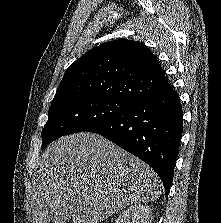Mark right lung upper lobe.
Here are the masks:
<instances>
[{
    "mask_svg": "<svg viewBox=\"0 0 221 223\" xmlns=\"http://www.w3.org/2000/svg\"><path fill=\"white\" fill-rule=\"evenodd\" d=\"M170 89L151 51L139 42L122 39L97 46L70 65L52 103L80 96L135 103Z\"/></svg>",
    "mask_w": 221,
    "mask_h": 223,
    "instance_id": "obj_1",
    "label": "right lung upper lobe"
}]
</instances>
